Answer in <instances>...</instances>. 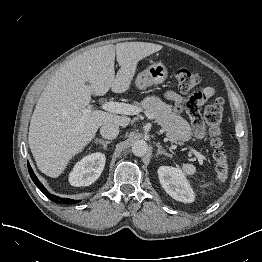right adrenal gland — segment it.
Instances as JSON below:
<instances>
[{"instance_id": "1", "label": "right adrenal gland", "mask_w": 262, "mask_h": 262, "mask_svg": "<svg viewBox=\"0 0 262 262\" xmlns=\"http://www.w3.org/2000/svg\"><path fill=\"white\" fill-rule=\"evenodd\" d=\"M96 142H99L100 144L103 145L104 149L106 150L107 148V145L110 144L112 141H106V140H103V139H96Z\"/></svg>"}]
</instances>
